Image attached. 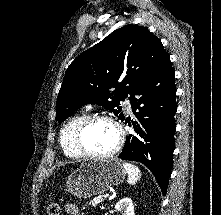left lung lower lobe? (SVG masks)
I'll return each instance as SVG.
<instances>
[{
    "mask_svg": "<svg viewBox=\"0 0 221 215\" xmlns=\"http://www.w3.org/2000/svg\"><path fill=\"white\" fill-rule=\"evenodd\" d=\"M131 106L138 119L134 123L137 135L127 136L119 158L147 166L166 194L175 149L177 111L175 74L169 56L140 84Z\"/></svg>",
    "mask_w": 221,
    "mask_h": 215,
    "instance_id": "1",
    "label": "left lung lower lobe"
}]
</instances>
